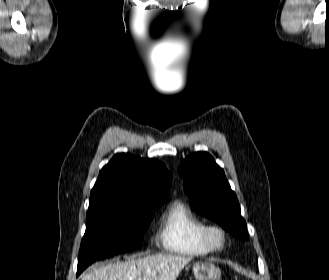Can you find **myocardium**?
Wrapping results in <instances>:
<instances>
[{"instance_id": "f54148a6", "label": "myocardium", "mask_w": 329, "mask_h": 280, "mask_svg": "<svg viewBox=\"0 0 329 280\" xmlns=\"http://www.w3.org/2000/svg\"><path fill=\"white\" fill-rule=\"evenodd\" d=\"M202 240L211 251H220L226 245V231L217 224H206L202 229Z\"/></svg>"}]
</instances>
